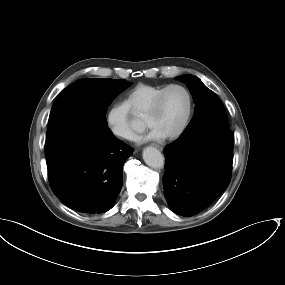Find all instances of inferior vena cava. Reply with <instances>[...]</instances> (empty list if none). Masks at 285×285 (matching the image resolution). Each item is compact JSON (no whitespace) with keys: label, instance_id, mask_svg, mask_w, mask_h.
<instances>
[{"label":"inferior vena cava","instance_id":"602c4592","mask_svg":"<svg viewBox=\"0 0 285 285\" xmlns=\"http://www.w3.org/2000/svg\"><path fill=\"white\" fill-rule=\"evenodd\" d=\"M120 135L123 137H129V136H132V132H130L129 130L123 129L121 130Z\"/></svg>","mask_w":285,"mask_h":285}]
</instances>
